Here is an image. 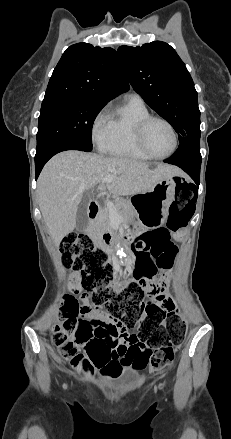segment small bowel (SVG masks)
<instances>
[{"label": "small bowel", "mask_w": 231, "mask_h": 439, "mask_svg": "<svg viewBox=\"0 0 231 439\" xmlns=\"http://www.w3.org/2000/svg\"><path fill=\"white\" fill-rule=\"evenodd\" d=\"M180 234L173 233L169 228L161 227L142 234L137 249L132 247L135 252L136 265L144 263L148 266H155L159 257L168 252L175 250L174 240L178 239ZM175 255V254H174ZM73 291L79 292L81 277L78 273L72 276ZM157 289L149 290L148 294L155 298L154 301L147 302V305L155 304L163 309H174L175 301L170 296L165 297L163 294L169 286V278L162 277L159 281L154 282ZM119 289V287H118ZM83 307L80 314L83 319L80 321L90 330L92 344H103L110 348L121 361H127L125 366H132L131 354L134 352L149 353L148 348L139 342L135 334L127 331V328L119 322L111 319L105 312L99 308H91L88 302V294H81Z\"/></svg>", "instance_id": "small-bowel-1"}]
</instances>
